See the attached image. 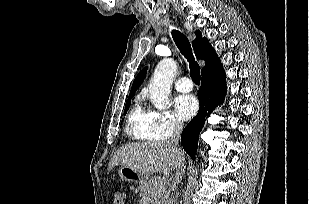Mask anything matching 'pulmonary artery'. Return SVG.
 I'll use <instances>...</instances> for the list:
<instances>
[{"instance_id":"1","label":"pulmonary artery","mask_w":309,"mask_h":204,"mask_svg":"<svg viewBox=\"0 0 309 204\" xmlns=\"http://www.w3.org/2000/svg\"><path fill=\"white\" fill-rule=\"evenodd\" d=\"M175 88L179 92H190L193 89V83L188 77H181L175 82Z\"/></svg>"}]
</instances>
